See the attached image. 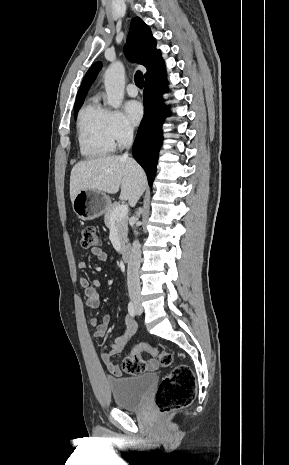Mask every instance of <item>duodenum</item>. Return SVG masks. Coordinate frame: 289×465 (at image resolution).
<instances>
[{
	"label": "duodenum",
	"mask_w": 289,
	"mask_h": 465,
	"mask_svg": "<svg viewBox=\"0 0 289 465\" xmlns=\"http://www.w3.org/2000/svg\"><path fill=\"white\" fill-rule=\"evenodd\" d=\"M121 259L123 262L127 263L130 260V249L129 247H123L121 250Z\"/></svg>",
	"instance_id": "duodenum-1"
}]
</instances>
